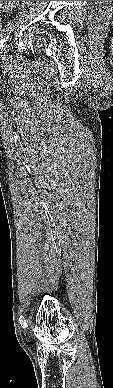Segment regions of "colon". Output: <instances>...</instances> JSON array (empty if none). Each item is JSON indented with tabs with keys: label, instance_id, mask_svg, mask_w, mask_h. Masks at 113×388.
Instances as JSON below:
<instances>
[{
	"label": "colon",
	"instance_id": "1",
	"mask_svg": "<svg viewBox=\"0 0 113 388\" xmlns=\"http://www.w3.org/2000/svg\"><path fill=\"white\" fill-rule=\"evenodd\" d=\"M16 1H0V11L4 12L14 6Z\"/></svg>",
	"mask_w": 113,
	"mask_h": 388
}]
</instances>
